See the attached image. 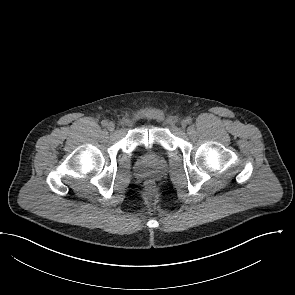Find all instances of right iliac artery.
<instances>
[{
  "label": "right iliac artery",
  "mask_w": 295,
  "mask_h": 295,
  "mask_svg": "<svg viewBox=\"0 0 295 295\" xmlns=\"http://www.w3.org/2000/svg\"><path fill=\"white\" fill-rule=\"evenodd\" d=\"M101 124H102V126H107L108 122H107V120H103V121L101 122Z\"/></svg>",
  "instance_id": "82829eb1"
}]
</instances>
